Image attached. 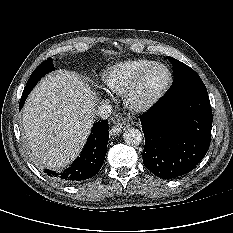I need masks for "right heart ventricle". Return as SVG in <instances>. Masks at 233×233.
<instances>
[{
	"label": "right heart ventricle",
	"mask_w": 233,
	"mask_h": 233,
	"mask_svg": "<svg viewBox=\"0 0 233 233\" xmlns=\"http://www.w3.org/2000/svg\"><path fill=\"white\" fill-rule=\"evenodd\" d=\"M153 63L154 61L148 59H134L116 63L103 71V83L110 92L123 95L134 79Z\"/></svg>",
	"instance_id": "right-heart-ventricle-1"
}]
</instances>
